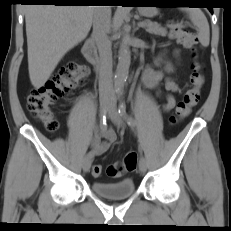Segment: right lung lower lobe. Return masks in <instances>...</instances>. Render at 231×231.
Instances as JSON below:
<instances>
[{
  "label": "right lung lower lobe",
  "mask_w": 231,
  "mask_h": 231,
  "mask_svg": "<svg viewBox=\"0 0 231 231\" xmlns=\"http://www.w3.org/2000/svg\"><path fill=\"white\" fill-rule=\"evenodd\" d=\"M78 1L80 0H22V2H26V3H49L54 5H82Z\"/></svg>",
  "instance_id": "98d812e1"
}]
</instances>
